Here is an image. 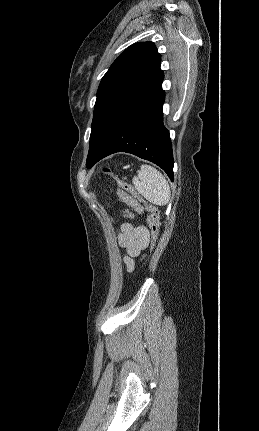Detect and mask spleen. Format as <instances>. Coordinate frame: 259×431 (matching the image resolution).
<instances>
[{
    "mask_svg": "<svg viewBox=\"0 0 259 431\" xmlns=\"http://www.w3.org/2000/svg\"><path fill=\"white\" fill-rule=\"evenodd\" d=\"M136 190L149 202L164 206L171 196L170 187L163 174L151 165L143 164L132 180Z\"/></svg>",
    "mask_w": 259,
    "mask_h": 431,
    "instance_id": "obj_1",
    "label": "spleen"
}]
</instances>
